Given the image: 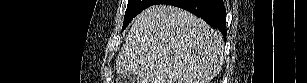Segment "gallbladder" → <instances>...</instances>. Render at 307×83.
<instances>
[{
	"mask_svg": "<svg viewBox=\"0 0 307 83\" xmlns=\"http://www.w3.org/2000/svg\"><path fill=\"white\" fill-rule=\"evenodd\" d=\"M125 83H140V79L137 75H131L126 80H124Z\"/></svg>",
	"mask_w": 307,
	"mask_h": 83,
	"instance_id": "1",
	"label": "gallbladder"
}]
</instances>
